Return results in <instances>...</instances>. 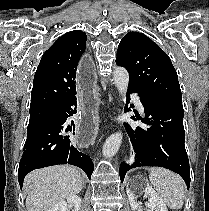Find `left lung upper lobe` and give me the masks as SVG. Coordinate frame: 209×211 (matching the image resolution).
Here are the masks:
<instances>
[{
  "label": "left lung upper lobe",
  "instance_id": "5c2ea615",
  "mask_svg": "<svg viewBox=\"0 0 209 211\" xmlns=\"http://www.w3.org/2000/svg\"><path fill=\"white\" fill-rule=\"evenodd\" d=\"M116 64L128 70L129 86L147 97L182 103L178 76L170 58L144 34L125 35L117 50Z\"/></svg>",
  "mask_w": 209,
  "mask_h": 211
}]
</instances>
